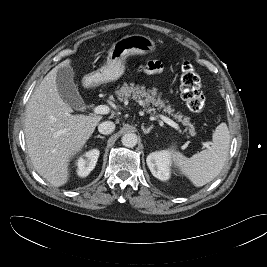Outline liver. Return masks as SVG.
Listing matches in <instances>:
<instances>
[{
	"instance_id": "1",
	"label": "liver",
	"mask_w": 267,
	"mask_h": 267,
	"mask_svg": "<svg viewBox=\"0 0 267 267\" xmlns=\"http://www.w3.org/2000/svg\"><path fill=\"white\" fill-rule=\"evenodd\" d=\"M67 59L53 68L34 90L26 109L25 138L31 162L55 187L69 179V165L93 134L102 116L73 115L60 96L57 71L70 66Z\"/></svg>"
}]
</instances>
